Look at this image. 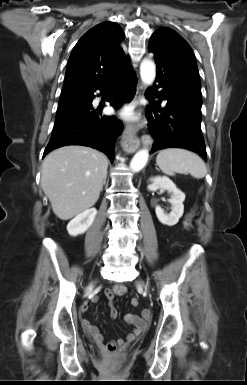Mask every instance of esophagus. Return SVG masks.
<instances>
[{
	"label": "esophagus",
	"mask_w": 247,
	"mask_h": 385,
	"mask_svg": "<svg viewBox=\"0 0 247 385\" xmlns=\"http://www.w3.org/2000/svg\"><path fill=\"white\" fill-rule=\"evenodd\" d=\"M144 91H145L144 85L142 83H139L136 88V94L134 97L135 102L140 101V99L144 95ZM138 130H139V127L137 124L130 123V124H127L125 127V130L122 136V146L124 150L128 153L135 152L140 145V140L137 137Z\"/></svg>",
	"instance_id": "esophagus-1"
}]
</instances>
